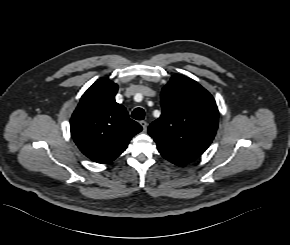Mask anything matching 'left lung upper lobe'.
Segmentation results:
<instances>
[{
  "instance_id": "obj_1",
  "label": "left lung upper lobe",
  "mask_w": 290,
  "mask_h": 245,
  "mask_svg": "<svg viewBox=\"0 0 290 245\" xmlns=\"http://www.w3.org/2000/svg\"><path fill=\"white\" fill-rule=\"evenodd\" d=\"M162 115L148 133L165 158L190 163L211 144L219 112L212 95L196 81L174 75L161 93Z\"/></svg>"
}]
</instances>
